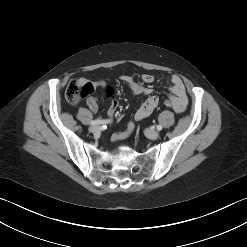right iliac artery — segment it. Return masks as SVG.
<instances>
[{
	"label": "right iliac artery",
	"mask_w": 247,
	"mask_h": 247,
	"mask_svg": "<svg viewBox=\"0 0 247 247\" xmlns=\"http://www.w3.org/2000/svg\"><path fill=\"white\" fill-rule=\"evenodd\" d=\"M109 123V120H100L96 119L90 122V125H97V124H107Z\"/></svg>",
	"instance_id": "obj_1"
}]
</instances>
